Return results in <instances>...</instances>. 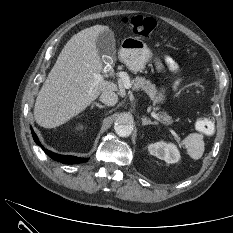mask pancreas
Returning a JSON list of instances; mask_svg holds the SVG:
<instances>
[{
	"instance_id": "cf45deb5",
	"label": "pancreas",
	"mask_w": 233,
	"mask_h": 233,
	"mask_svg": "<svg viewBox=\"0 0 233 233\" xmlns=\"http://www.w3.org/2000/svg\"><path fill=\"white\" fill-rule=\"evenodd\" d=\"M132 88L135 90H143L145 91L148 96L150 97L151 100L154 101V103L157 102V89L154 84L151 83L150 80L145 79L143 77H136L134 80L131 81ZM154 110H158V107L154 108ZM160 118L162 121H165L167 123H171V117L168 116L167 114L160 115Z\"/></svg>"
}]
</instances>
